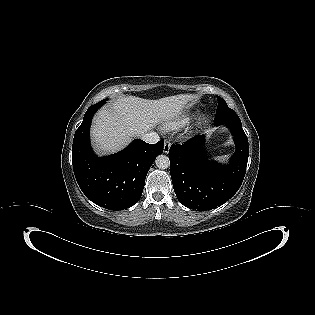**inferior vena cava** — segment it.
Here are the masks:
<instances>
[{
  "label": "inferior vena cava",
  "mask_w": 315,
  "mask_h": 315,
  "mask_svg": "<svg viewBox=\"0 0 315 315\" xmlns=\"http://www.w3.org/2000/svg\"><path fill=\"white\" fill-rule=\"evenodd\" d=\"M142 140L150 144H155L160 140V137L156 132H146L142 135Z\"/></svg>",
  "instance_id": "inferior-vena-cava-1"
}]
</instances>
